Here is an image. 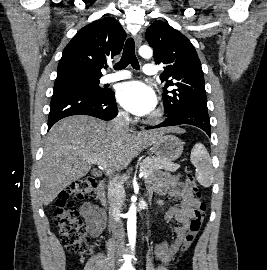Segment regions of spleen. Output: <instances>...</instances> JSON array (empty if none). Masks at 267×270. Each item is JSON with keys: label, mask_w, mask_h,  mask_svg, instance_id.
<instances>
[{"label": "spleen", "mask_w": 267, "mask_h": 270, "mask_svg": "<svg viewBox=\"0 0 267 270\" xmlns=\"http://www.w3.org/2000/svg\"><path fill=\"white\" fill-rule=\"evenodd\" d=\"M190 160L196 167L197 181L204 187H210L213 182V167L210 155L203 144H195Z\"/></svg>", "instance_id": "3e777b00"}]
</instances>
